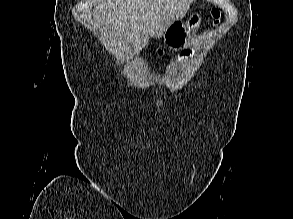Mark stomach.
<instances>
[{"label": "stomach", "instance_id": "stomach-1", "mask_svg": "<svg viewBox=\"0 0 293 219\" xmlns=\"http://www.w3.org/2000/svg\"><path fill=\"white\" fill-rule=\"evenodd\" d=\"M201 24V15L193 12L184 23L181 19L173 21L164 32L163 38L170 48L182 49L188 46L192 36Z\"/></svg>", "mask_w": 293, "mask_h": 219}]
</instances>
